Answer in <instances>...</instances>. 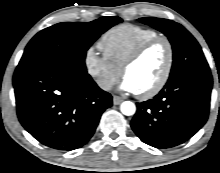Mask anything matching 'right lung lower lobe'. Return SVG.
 I'll return each instance as SVG.
<instances>
[{"mask_svg":"<svg viewBox=\"0 0 220 173\" xmlns=\"http://www.w3.org/2000/svg\"><path fill=\"white\" fill-rule=\"evenodd\" d=\"M18 118L41 144L57 150H74L95 132L112 96L100 89L89 74L56 63L16 68Z\"/></svg>","mask_w":220,"mask_h":173,"instance_id":"obj_1","label":"right lung lower lobe"}]
</instances>
